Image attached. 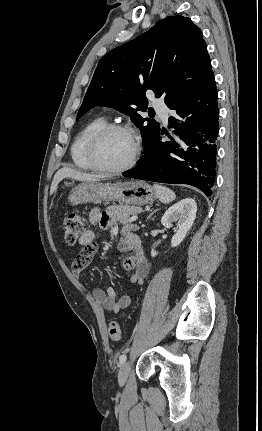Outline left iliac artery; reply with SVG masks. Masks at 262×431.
<instances>
[{
  "instance_id": "44dca946",
  "label": "left iliac artery",
  "mask_w": 262,
  "mask_h": 431,
  "mask_svg": "<svg viewBox=\"0 0 262 431\" xmlns=\"http://www.w3.org/2000/svg\"><path fill=\"white\" fill-rule=\"evenodd\" d=\"M119 360H120V364H123L126 361V355L125 354L121 355Z\"/></svg>"
}]
</instances>
